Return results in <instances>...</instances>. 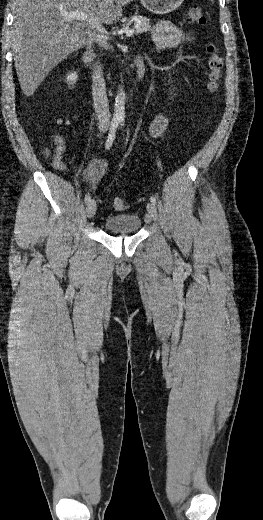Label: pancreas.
<instances>
[{"label":"pancreas","instance_id":"obj_1","mask_svg":"<svg viewBox=\"0 0 263 520\" xmlns=\"http://www.w3.org/2000/svg\"><path fill=\"white\" fill-rule=\"evenodd\" d=\"M133 21L135 22L134 30L137 33H143L151 29L150 19L143 16H133L130 19H127L123 26H129Z\"/></svg>","mask_w":263,"mask_h":520}]
</instances>
